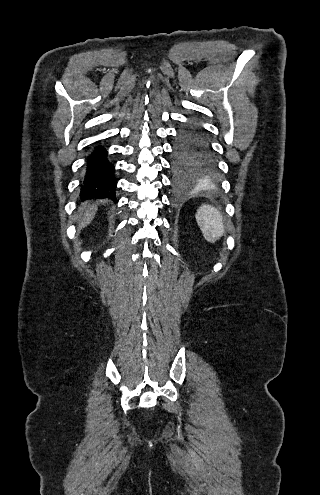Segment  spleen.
Here are the masks:
<instances>
[{
    "instance_id": "obj_1",
    "label": "spleen",
    "mask_w": 320,
    "mask_h": 495,
    "mask_svg": "<svg viewBox=\"0 0 320 495\" xmlns=\"http://www.w3.org/2000/svg\"><path fill=\"white\" fill-rule=\"evenodd\" d=\"M196 221L205 239L210 243H215L225 232L221 213L209 205H202L197 210Z\"/></svg>"
}]
</instances>
